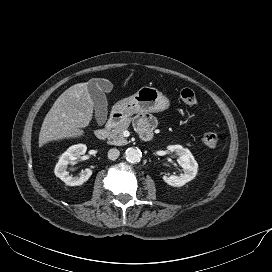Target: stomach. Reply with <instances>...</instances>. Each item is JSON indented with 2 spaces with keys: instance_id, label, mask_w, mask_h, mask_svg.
I'll list each match as a JSON object with an SVG mask.
<instances>
[{
  "instance_id": "1",
  "label": "stomach",
  "mask_w": 272,
  "mask_h": 272,
  "mask_svg": "<svg viewBox=\"0 0 272 272\" xmlns=\"http://www.w3.org/2000/svg\"><path fill=\"white\" fill-rule=\"evenodd\" d=\"M170 107L169 99L156 88L143 86L135 94L122 99L113 111L126 119L136 113L162 112Z\"/></svg>"
}]
</instances>
